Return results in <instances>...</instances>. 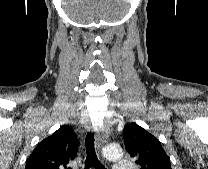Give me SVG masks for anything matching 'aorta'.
<instances>
[{
	"mask_svg": "<svg viewBox=\"0 0 208 169\" xmlns=\"http://www.w3.org/2000/svg\"><path fill=\"white\" fill-rule=\"evenodd\" d=\"M103 155L111 161L119 160L123 156V151L120 146L110 144L104 147Z\"/></svg>",
	"mask_w": 208,
	"mask_h": 169,
	"instance_id": "obj_1",
	"label": "aorta"
}]
</instances>
